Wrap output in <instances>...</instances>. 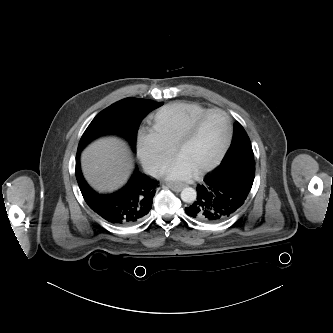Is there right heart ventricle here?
<instances>
[{"label":"right heart ventricle","mask_w":333,"mask_h":333,"mask_svg":"<svg viewBox=\"0 0 333 333\" xmlns=\"http://www.w3.org/2000/svg\"><path fill=\"white\" fill-rule=\"evenodd\" d=\"M208 109L195 102H174L159 109L152 117V129L171 148L184 129Z\"/></svg>","instance_id":"1"}]
</instances>
